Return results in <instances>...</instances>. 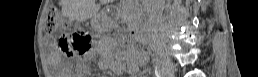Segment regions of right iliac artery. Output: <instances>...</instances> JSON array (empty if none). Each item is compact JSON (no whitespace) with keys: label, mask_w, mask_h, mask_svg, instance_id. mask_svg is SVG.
Returning <instances> with one entry per match:
<instances>
[{"label":"right iliac artery","mask_w":258,"mask_h":77,"mask_svg":"<svg viewBox=\"0 0 258 77\" xmlns=\"http://www.w3.org/2000/svg\"><path fill=\"white\" fill-rule=\"evenodd\" d=\"M157 77H160V73L157 72Z\"/></svg>","instance_id":"obj_1"}]
</instances>
